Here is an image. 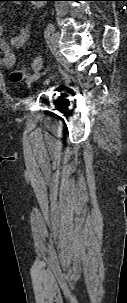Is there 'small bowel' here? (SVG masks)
Listing matches in <instances>:
<instances>
[{
    "instance_id": "small-bowel-1",
    "label": "small bowel",
    "mask_w": 127,
    "mask_h": 303,
    "mask_svg": "<svg viewBox=\"0 0 127 303\" xmlns=\"http://www.w3.org/2000/svg\"><path fill=\"white\" fill-rule=\"evenodd\" d=\"M27 37L28 31L26 29H23L17 36H14L9 41H7L3 37V29L0 25V54L2 55V66L4 68L10 69L16 65L17 54L15 52V49L24 46L27 41ZM33 78V75L28 76V79Z\"/></svg>"
}]
</instances>
